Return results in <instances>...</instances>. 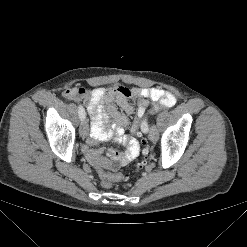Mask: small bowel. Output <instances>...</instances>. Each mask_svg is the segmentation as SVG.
<instances>
[{
    "label": "small bowel",
    "instance_id": "small-bowel-1",
    "mask_svg": "<svg viewBox=\"0 0 247 247\" xmlns=\"http://www.w3.org/2000/svg\"><path fill=\"white\" fill-rule=\"evenodd\" d=\"M119 88V87H118ZM118 88L97 87L87 89L82 86L69 88L63 92L66 100L71 102H87V111L91 117V133L83 148L88 162L100 170H116L135 159L140 151L138 141L126 134L129 125L128 116L135 113L141 117L147 111L150 102L171 107L176 103L175 96L160 88H133L128 95H123ZM136 103V106L132 104ZM109 118L113 122L104 128ZM115 141L126 148L124 153L111 149L108 158L102 156V150L96 148L98 142Z\"/></svg>",
    "mask_w": 247,
    "mask_h": 247
}]
</instances>
